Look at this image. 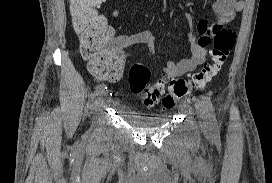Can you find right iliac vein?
<instances>
[{
	"label": "right iliac vein",
	"mask_w": 272,
	"mask_h": 183,
	"mask_svg": "<svg viewBox=\"0 0 272 183\" xmlns=\"http://www.w3.org/2000/svg\"><path fill=\"white\" fill-rule=\"evenodd\" d=\"M98 95H99V96L97 97L96 103H97L98 105H100L101 103H103L104 98L107 96V92L104 91V92H102V93H100V94H98Z\"/></svg>",
	"instance_id": "63e3f726"
}]
</instances>
